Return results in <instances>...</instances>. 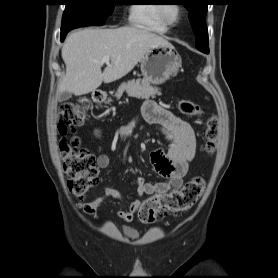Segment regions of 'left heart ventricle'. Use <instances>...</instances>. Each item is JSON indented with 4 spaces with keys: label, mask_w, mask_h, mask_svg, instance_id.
<instances>
[{
    "label": "left heart ventricle",
    "mask_w": 278,
    "mask_h": 278,
    "mask_svg": "<svg viewBox=\"0 0 278 278\" xmlns=\"http://www.w3.org/2000/svg\"><path fill=\"white\" fill-rule=\"evenodd\" d=\"M167 14L169 18L176 19L178 17L179 11L175 5H171L167 9Z\"/></svg>",
    "instance_id": "1"
}]
</instances>
